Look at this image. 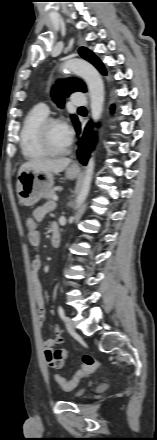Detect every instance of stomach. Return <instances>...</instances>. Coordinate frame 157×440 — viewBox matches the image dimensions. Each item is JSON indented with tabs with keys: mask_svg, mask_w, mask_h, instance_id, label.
<instances>
[{
	"mask_svg": "<svg viewBox=\"0 0 157 440\" xmlns=\"http://www.w3.org/2000/svg\"><path fill=\"white\" fill-rule=\"evenodd\" d=\"M79 174L78 170L71 167L66 169L65 176L74 179ZM54 184V176L51 172L24 171L18 175L16 190L19 202L23 206H33L41 198L45 197Z\"/></svg>",
	"mask_w": 157,
	"mask_h": 440,
	"instance_id": "0dacf381",
	"label": "stomach"
}]
</instances>
